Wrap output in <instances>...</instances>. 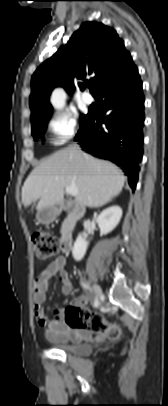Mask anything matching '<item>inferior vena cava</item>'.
<instances>
[{"mask_svg": "<svg viewBox=\"0 0 168 406\" xmlns=\"http://www.w3.org/2000/svg\"><path fill=\"white\" fill-rule=\"evenodd\" d=\"M72 148L75 150V151H77V152H80L81 150H80V147L77 145V144H74L73 146H72Z\"/></svg>", "mask_w": 168, "mask_h": 406, "instance_id": "1", "label": "inferior vena cava"}]
</instances>
